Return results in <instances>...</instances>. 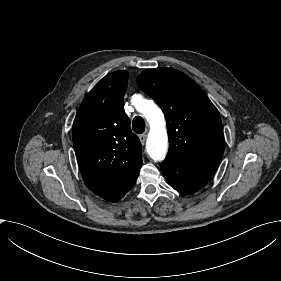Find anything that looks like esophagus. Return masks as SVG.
<instances>
[{"instance_id":"34e87169","label":"esophagus","mask_w":281,"mask_h":281,"mask_svg":"<svg viewBox=\"0 0 281 281\" xmlns=\"http://www.w3.org/2000/svg\"><path fill=\"white\" fill-rule=\"evenodd\" d=\"M139 139H140L142 145H144V144H145V141H146V135H145V134H141V135L139 136Z\"/></svg>"}]
</instances>
